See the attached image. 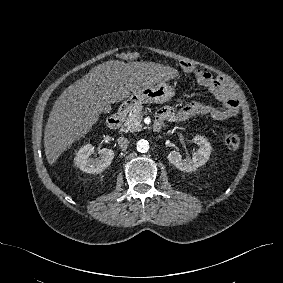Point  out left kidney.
<instances>
[{
	"label": "left kidney",
	"mask_w": 283,
	"mask_h": 283,
	"mask_svg": "<svg viewBox=\"0 0 283 283\" xmlns=\"http://www.w3.org/2000/svg\"><path fill=\"white\" fill-rule=\"evenodd\" d=\"M194 141L199 148L192 159H182V155L177 150L171 151L167 156L169 162L181 171H194L209 160L212 147L208 140L203 136L196 135Z\"/></svg>",
	"instance_id": "obj_1"
}]
</instances>
